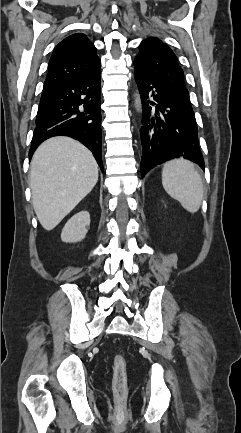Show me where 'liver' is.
Returning a JSON list of instances; mask_svg holds the SVG:
<instances>
[{
	"instance_id": "obj_1",
	"label": "liver",
	"mask_w": 241,
	"mask_h": 433,
	"mask_svg": "<svg viewBox=\"0 0 241 433\" xmlns=\"http://www.w3.org/2000/svg\"><path fill=\"white\" fill-rule=\"evenodd\" d=\"M98 181L92 153L69 137L42 143L31 161L30 186L36 216L50 231L87 196Z\"/></svg>"
}]
</instances>
